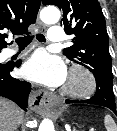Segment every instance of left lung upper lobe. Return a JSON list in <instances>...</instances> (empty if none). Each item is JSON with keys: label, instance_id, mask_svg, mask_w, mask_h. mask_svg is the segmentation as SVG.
Masks as SVG:
<instances>
[{"label": "left lung upper lobe", "instance_id": "left-lung-upper-lobe-1", "mask_svg": "<svg viewBox=\"0 0 117 131\" xmlns=\"http://www.w3.org/2000/svg\"><path fill=\"white\" fill-rule=\"evenodd\" d=\"M44 5H56L63 11L61 25L66 34H73L74 43L63 50L64 55L94 75L97 88L113 93V74L109 53V38L98 0H42Z\"/></svg>", "mask_w": 117, "mask_h": 131}]
</instances>
